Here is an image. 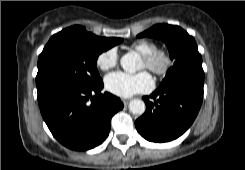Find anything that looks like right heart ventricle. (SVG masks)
Listing matches in <instances>:
<instances>
[{
  "label": "right heart ventricle",
  "mask_w": 245,
  "mask_h": 170,
  "mask_svg": "<svg viewBox=\"0 0 245 170\" xmlns=\"http://www.w3.org/2000/svg\"><path fill=\"white\" fill-rule=\"evenodd\" d=\"M131 48L136 50L138 53H140L141 55H146L149 54L151 52H153L154 50L157 49V45L155 42L151 41V40H139L134 42L131 45Z\"/></svg>",
  "instance_id": "obj_1"
}]
</instances>
